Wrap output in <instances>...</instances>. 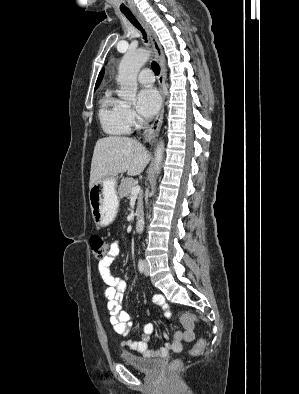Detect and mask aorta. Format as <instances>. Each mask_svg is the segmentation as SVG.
Instances as JSON below:
<instances>
[{
  "instance_id": "762f6f07",
  "label": "aorta",
  "mask_w": 299,
  "mask_h": 394,
  "mask_svg": "<svg viewBox=\"0 0 299 394\" xmlns=\"http://www.w3.org/2000/svg\"><path fill=\"white\" fill-rule=\"evenodd\" d=\"M150 52L140 49L135 52H127L118 67L117 82L120 85L118 96L128 103L135 101L137 92V76L141 67L149 59ZM164 157V142L161 140L155 150V171L160 172Z\"/></svg>"
}]
</instances>
